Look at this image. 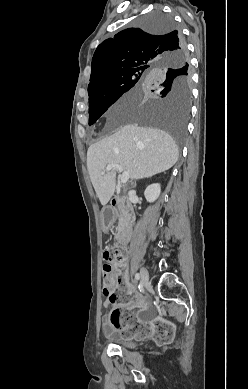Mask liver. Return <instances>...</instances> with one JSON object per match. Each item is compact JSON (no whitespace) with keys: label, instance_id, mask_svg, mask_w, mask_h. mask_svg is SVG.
<instances>
[{"label":"liver","instance_id":"obj_1","mask_svg":"<svg viewBox=\"0 0 248 389\" xmlns=\"http://www.w3.org/2000/svg\"><path fill=\"white\" fill-rule=\"evenodd\" d=\"M136 94H129V105ZM179 152L174 139L165 131L128 124L113 135L91 145L87 151V169L100 203L106 205L114 195L116 170L103 174L109 164H119L129 172L131 179L149 178L170 169L178 160Z\"/></svg>","mask_w":248,"mask_h":389}]
</instances>
